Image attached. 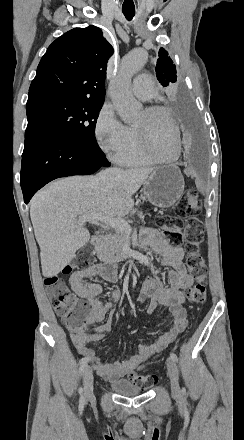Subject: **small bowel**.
<instances>
[{
    "mask_svg": "<svg viewBox=\"0 0 244 440\" xmlns=\"http://www.w3.org/2000/svg\"><path fill=\"white\" fill-rule=\"evenodd\" d=\"M140 241L143 247L154 250L159 256L161 266L168 268L169 283L166 285L154 276H147L142 283L137 299L139 302H149L148 313H154L159 305L166 307L173 317V324L154 343L142 345L138 353L129 359L113 364L104 363L95 350L89 346L90 343L102 341L105 334L111 330V321L97 327L94 325L104 320L113 302L119 301L121 297L119 289L113 288L108 292L106 301L100 300L99 296L102 295L103 289L99 284L91 282L90 278L97 276L105 282L112 283L116 280L115 270L103 264H96L74 271L69 277L71 289L81 300H87V307L92 308V315L86 317L89 324L88 327H85V334L77 338L70 335L71 340L78 353L82 357L85 354L88 355L89 358L86 362L101 378L107 381L123 379L132 372L141 369L153 356L166 350L188 325L183 291L192 286L194 279L184 266V249L181 246L172 245L159 230L154 228L142 229Z\"/></svg>",
    "mask_w": 244,
    "mask_h": 440,
    "instance_id": "obj_1",
    "label": "small bowel"
}]
</instances>
